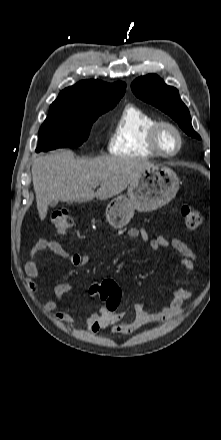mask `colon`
Listing matches in <instances>:
<instances>
[{"instance_id": "obj_1", "label": "colon", "mask_w": 221, "mask_h": 440, "mask_svg": "<svg viewBox=\"0 0 221 440\" xmlns=\"http://www.w3.org/2000/svg\"><path fill=\"white\" fill-rule=\"evenodd\" d=\"M184 224L189 229H196L202 223L200 211L192 205H183L180 209ZM76 223L73 214L64 209L55 210L51 215V224L54 231L59 235H65ZM91 295L101 301H105L108 315H117L118 305L121 298V288L114 280L96 282L90 287Z\"/></svg>"}]
</instances>
